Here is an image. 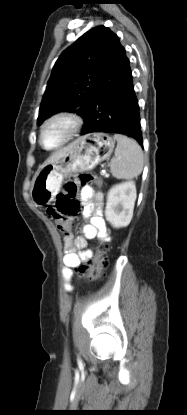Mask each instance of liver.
<instances>
[{"label":"liver","instance_id":"obj_1","mask_svg":"<svg viewBox=\"0 0 187 415\" xmlns=\"http://www.w3.org/2000/svg\"><path fill=\"white\" fill-rule=\"evenodd\" d=\"M69 150V146L64 147L56 152H54L49 159H47V161L45 162V164L48 163H53L56 162L57 160H59L61 157H63L65 155V153Z\"/></svg>","mask_w":187,"mask_h":415}]
</instances>
